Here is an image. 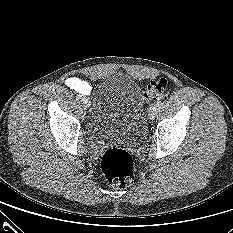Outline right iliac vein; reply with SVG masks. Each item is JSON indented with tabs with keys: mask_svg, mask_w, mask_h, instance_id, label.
<instances>
[{
	"mask_svg": "<svg viewBox=\"0 0 233 233\" xmlns=\"http://www.w3.org/2000/svg\"><path fill=\"white\" fill-rule=\"evenodd\" d=\"M81 105L84 109H88L90 107V101L88 100V98H82Z\"/></svg>",
	"mask_w": 233,
	"mask_h": 233,
	"instance_id": "obj_1",
	"label": "right iliac vein"
}]
</instances>
